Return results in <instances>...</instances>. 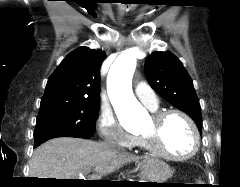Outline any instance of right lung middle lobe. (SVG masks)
<instances>
[{
  "mask_svg": "<svg viewBox=\"0 0 240 187\" xmlns=\"http://www.w3.org/2000/svg\"><path fill=\"white\" fill-rule=\"evenodd\" d=\"M100 102L55 103L40 107L35 138L50 133H67L89 138L95 132Z\"/></svg>",
  "mask_w": 240,
  "mask_h": 187,
  "instance_id": "right-lung-middle-lobe-1",
  "label": "right lung middle lobe"
}]
</instances>
